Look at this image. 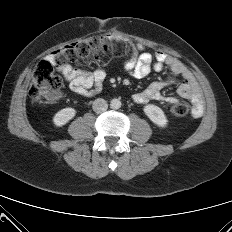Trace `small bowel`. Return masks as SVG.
Here are the masks:
<instances>
[{"mask_svg":"<svg viewBox=\"0 0 232 232\" xmlns=\"http://www.w3.org/2000/svg\"><path fill=\"white\" fill-rule=\"evenodd\" d=\"M167 69L169 74L166 78L152 82L141 92L134 94L133 100L136 103H145L149 100H160L168 104L178 102L175 96H165L162 90L174 82L176 76L182 78L177 88L181 98L187 99L192 104V115L200 117L203 114L204 106L201 99L199 87L197 86L191 70L178 58L158 51L155 54L143 51L141 46H131V58L128 60L125 70L134 79L147 77L152 70L162 71ZM69 89L81 96H91L101 91L106 79V71L103 68H93L89 71L75 69L70 65H63L58 68ZM58 94L52 99H60Z\"/></svg>","mask_w":232,"mask_h":232,"instance_id":"small-bowel-1","label":"small bowel"}]
</instances>
